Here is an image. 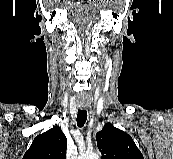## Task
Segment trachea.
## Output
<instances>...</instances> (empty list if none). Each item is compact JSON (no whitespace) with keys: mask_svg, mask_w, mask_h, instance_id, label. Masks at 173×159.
Listing matches in <instances>:
<instances>
[{"mask_svg":"<svg viewBox=\"0 0 173 159\" xmlns=\"http://www.w3.org/2000/svg\"><path fill=\"white\" fill-rule=\"evenodd\" d=\"M76 120H77L78 127H83L87 120V111L79 109Z\"/></svg>","mask_w":173,"mask_h":159,"instance_id":"1","label":"trachea"}]
</instances>
